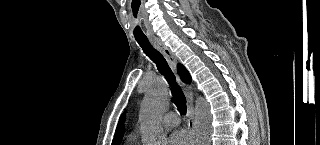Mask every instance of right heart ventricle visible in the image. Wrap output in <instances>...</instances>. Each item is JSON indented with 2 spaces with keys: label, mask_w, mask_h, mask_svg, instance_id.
<instances>
[{
  "label": "right heart ventricle",
  "mask_w": 320,
  "mask_h": 145,
  "mask_svg": "<svg viewBox=\"0 0 320 145\" xmlns=\"http://www.w3.org/2000/svg\"><path fill=\"white\" fill-rule=\"evenodd\" d=\"M128 145H133V143L130 141Z\"/></svg>",
  "instance_id": "1"
}]
</instances>
